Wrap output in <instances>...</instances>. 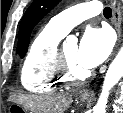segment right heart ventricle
<instances>
[{"label": "right heart ventricle", "mask_w": 123, "mask_h": 113, "mask_svg": "<svg viewBox=\"0 0 123 113\" xmlns=\"http://www.w3.org/2000/svg\"><path fill=\"white\" fill-rule=\"evenodd\" d=\"M64 35L47 25L34 37L21 68L26 90L51 93L66 83L57 70L58 45Z\"/></svg>", "instance_id": "right-heart-ventricle-1"}]
</instances>
